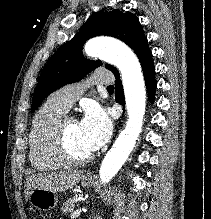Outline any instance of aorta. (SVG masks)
<instances>
[{
    "instance_id": "obj_1",
    "label": "aorta",
    "mask_w": 211,
    "mask_h": 219,
    "mask_svg": "<svg viewBox=\"0 0 211 219\" xmlns=\"http://www.w3.org/2000/svg\"><path fill=\"white\" fill-rule=\"evenodd\" d=\"M85 52L115 65L122 76L128 120L100 166V179L108 183L128 158L141 132L146 107L144 78L138 58L123 43L94 39L86 44Z\"/></svg>"
}]
</instances>
